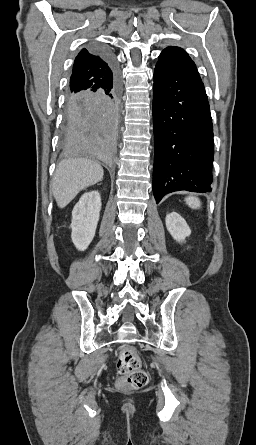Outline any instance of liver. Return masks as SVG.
Masks as SVG:
<instances>
[{
	"label": "liver",
	"instance_id": "1",
	"mask_svg": "<svg viewBox=\"0 0 256 445\" xmlns=\"http://www.w3.org/2000/svg\"><path fill=\"white\" fill-rule=\"evenodd\" d=\"M102 166L86 158L62 160L55 171L51 188L57 205L66 207L83 189L103 179Z\"/></svg>",
	"mask_w": 256,
	"mask_h": 445
}]
</instances>
